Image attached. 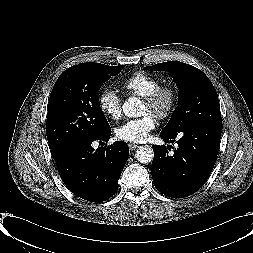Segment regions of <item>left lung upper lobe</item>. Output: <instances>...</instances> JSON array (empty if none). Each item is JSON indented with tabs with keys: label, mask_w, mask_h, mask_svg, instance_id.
<instances>
[{
	"label": "left lung upper lobe",
	"mask_w": 253,
	"mask_h": 253,
	"mask_svg": "<svg viewBox=\"0 0 253 253\" xmlns=\"http://www.w3.org/2000/svg\"><path fill=\"white\" fill-rule=\"evenodd\" d=\"M145 69L171 73L179 88V105L162 134L174 135L190 124H222L217 92L201 70L180 61L158 63Z\"/></svg>",
	"instance_id": "1"
}]
</instances>
